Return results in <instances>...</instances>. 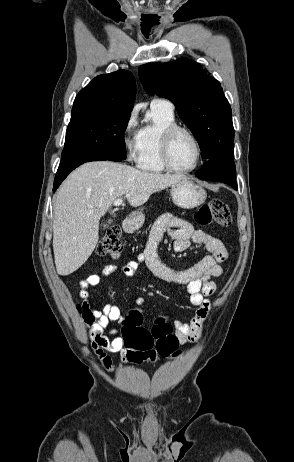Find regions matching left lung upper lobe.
Instances as JSON below:
<instances>
[{
  "label": "left lung upper lobe",
  "mask_w": 294,
  "mask_h": 462,
  "mask_svg": "<svg viewBox=\"0 0 294 462\" xmlns=\"http://www.w3.org/2000/svg\"><path fill=\"white\" fill-rule=\"evenodd\" d=\"M144 89L169 99L181 120L194 134L207 161L234 159L231 107L219 81L200 64L178 59L139 67Z\"/></svg>",
  "instance_id": "left-lung-upper-lobe-1"
}]
</instances>
